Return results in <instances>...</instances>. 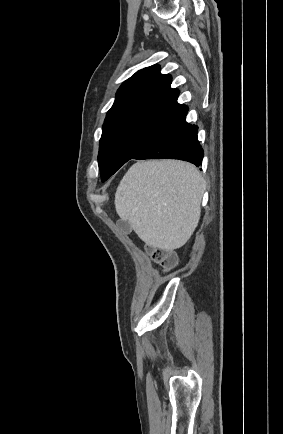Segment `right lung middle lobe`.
Returning <instances> with one entry per match:
<instances>
[{"label":"right lung middle lobe","instance_id":"dd1d6c3e","mask_svg":"<svg viewBox=\"0 0 283 434\" xmlns=\"http://www.w3.org/2000/svg\"><path fill=\"white\" fill-rule=\"evenodd\" d=\"M174 122L147 114L126 115L105 121L98 154L102 182Z\"/></svg>","mask_w":283,"mask_h":434}]
</instances>
